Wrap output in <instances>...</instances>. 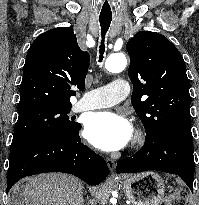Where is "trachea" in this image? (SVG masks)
I'll use <instances>...</instances> for the list:
<instances>
[{
	"instance_id": "3493384b",
	"label": "trachea",
	"mask_w": 199,
	"mask_h": 205,
	"mask_svg": "<svg viewBox=\"0 0 199 205\" xmlns=\"http://www.w3.org/2000/svg\"><path fill=\"white\" fill-rule=\"evenodd\" d=\"M99 21H100L101 34H102V40H101L100 49H99V53H100L99 62H102L103 54L105 52V44H104L105 35L110 27L112 17L100 16Z\"/></svg>"
}]
</instances>
